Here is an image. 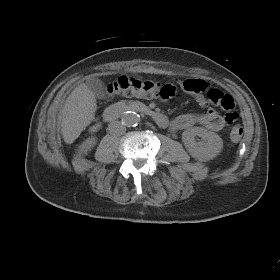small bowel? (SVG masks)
I'll return each mask as SVG.
<instances>
[{
    "mask_svg": "<svg viewBox=\"0 0 280 280\" xmlns=\"http://www.w3.org/2000/svg\"><path fill=\"white\" fill-rule=\"evenodd\" d=\"M179 87L186 93L194 96L196 102L201 107H206L208 104V97L204 92L208 88V83L202 79H183L178 81ZM194 125H201L211 131H220L225 128L226 123L222 116H220L214 109H207L203 113H185L169 120L166 128L172 131H179L188 129Z\"/></svg>",
    "mask_w": 280,
    "mask_h": 280,
    "instance_id": "obj_1",
    "label": "small bowel"
}]
</instances>
